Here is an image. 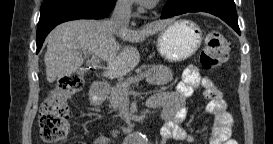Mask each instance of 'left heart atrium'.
Segmentation results:
<instances>
[{"instance_id": "39dd6f15", "label": "left heart atrium", "mask_w": 273, "mask_h": 144, "mask_svg": "<svg viewBox=\"0 0 273 144\" xmlns=\"http://www.w3.org/2000/svg\"><path fill=\"white\" fill-rule=\"evenodd\" d=\"M138 2L144 6L152 7L156 4L157 0H138Z\"/></svg>"}]
</instances>
